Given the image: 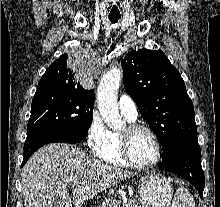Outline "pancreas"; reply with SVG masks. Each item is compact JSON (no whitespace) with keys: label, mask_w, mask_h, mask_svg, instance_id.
I'll list each match as a JSON object with an SVG mask.
<instances>
[{"label":"pancreas","mask_w":220,"mask_h":207,"mask_svg":"<svg viewBox=\"0 0 220 207\" xmlns=\"http://www.w3.org/2000/svg\"><path fill=\"white\" fill-rule=\"evenodd\" d=\"M113 204H115V207H140L139 203L135 200H129L128 202L121 203L113 197L106 199L99 207H111Z\"/></svg>","instance_id":"obj_1"}]
</instances>
